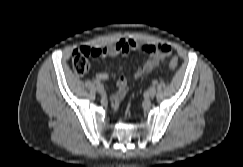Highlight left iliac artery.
<instances>
[{
	"instance_id": "obj_1",
	"label": "left iliac artery",
	"mask_w": 243,
	"mask_h": 167,
	"mask_svg": "<svg viewBox=\"0 0 243 167\" xmlns=\"http://www.w3.org/2000/svg\"><path fill=\"white\" fill-rule=\"evenodd\" d=\"M152 83H153V85H156L158 83V81L157 80H153Z\"/></svg>"
}]
</instances>
